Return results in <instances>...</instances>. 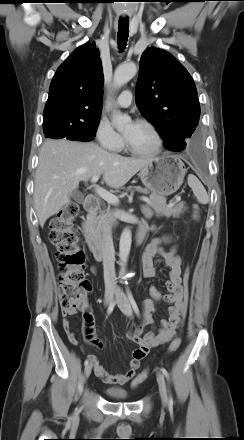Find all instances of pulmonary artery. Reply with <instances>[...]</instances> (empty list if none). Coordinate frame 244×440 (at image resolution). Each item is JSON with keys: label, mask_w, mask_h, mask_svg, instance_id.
I'll use <instances>...</instances> for the list:
<instances>
[{"label": "pulmonary artery", "mask_w": 244, "mask_h": 440, "mask_svg": "<svg viewBox=\"0 0 244 440\" xmlns=\"http://www.w3.org/2000/svg\"><path fill=\"white\" fill-rule=\"evenodd\" d=\"M131 102H132V93L129 90L123 91L117 99V105L122 108L129 107Z\"/></svg>", "instance_id": "pulmonary-artery-1"}]
</instances>
